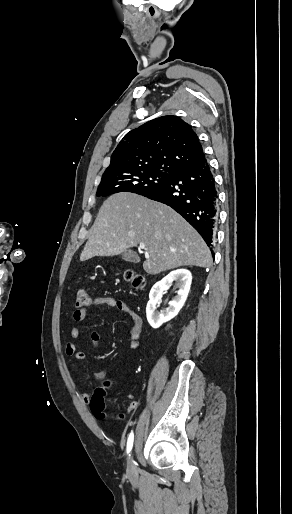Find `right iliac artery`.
Wrapping results in <instances>:
<instances>
[{
	"label": "right iliac artery",
	"mask_w": 292,
	"mask_h": 514,
	"mask_svg": "<svg viewBox=\"0 0 292 514\" xmlns=\"http://www.w3.org/2000/svg\"><path fill=\"white\" fill-rule=\"evenodd\" d=\"M133 441H134V435H133V432H131L128 437V441H127V449H126L127 454H129L132 449Z\"/></svg>",
	"instance_id": "right-iliac-artery-1"
}]
</instances>
